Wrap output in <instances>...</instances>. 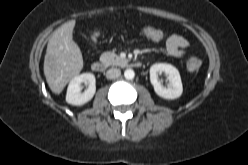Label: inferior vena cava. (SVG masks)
Listing matches in <instances>:
<instances>
[{
    "label": "inferior vena cava",
    "mask_w": 248,
    "mask_h": 165,
    "mask_svg": "<svg viewBox=\"0 0 248 165\" xmlns=\"http://www.w3.org/2000/svg\"><path fill=\"white\" fill-rule=\"evenodd\" d=\"M121 75V71L119 69H109L106 72L107 79H116Z\"/></svg>",
    "instance_id": "602c4592"
}]
</instances>
